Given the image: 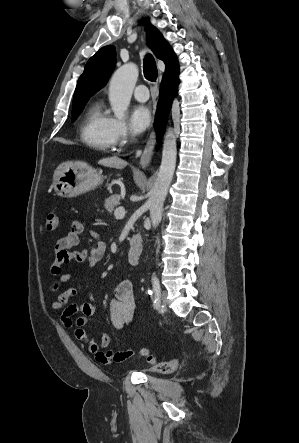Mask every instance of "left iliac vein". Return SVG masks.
Returning a JSON list of instances; mask_svg holds the SVG:
<instances>
[{"instance_id": "4c4485c4", "label": "left iliac vein", "mask_w": 299, "mask_h": 443, "mask_svg": "<svg viewBox=\"0 0 299 443\" xmlns=\"http://www.w3.org/2000/svg\"><path fill=\"white\" fill-rule=\"evenodd\" d=\"M159 309L161 311H166L167 310V299H166V294L165 293L162 295V304L160 305Z\"/></svg>"}]
</instances>
